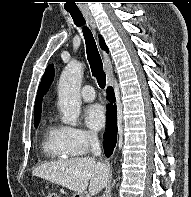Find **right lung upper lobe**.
I'll return each instance as SVG.
<instances>
[{
  "mask_svg": "<svg viewBox=\"0 0 191 197\" xmlns=\"http://www.w3.org/2000/svg\"><path fill=\"white\" fill-rule=\"evenodd\" d=\"M99 44L101 46L102 49H105L106 52H108V48L106 47L104 40L102 39L101 36H99ZM54 78V68L53 65H49L46 70L45 73L41 79L40 85L38 87V91H37V96H36V100H35V122H39L40 120V114H41V110H42V99L43 96L46 94V92L48 91L52 81Z\"/></svg>",
  "mask_w": 191,
  "mask_h": 197,
  "instance_id": "1",
  "label": "right lung upper lobe"
}]
</instances>
